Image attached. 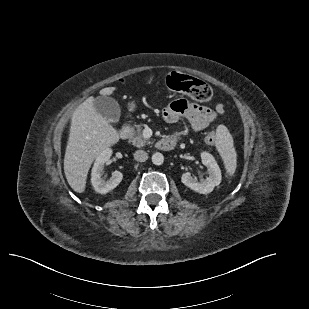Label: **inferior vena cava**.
<instances>
[{
	"label": "inferior vena cava",
	"mask_w": 309,
	"mask_h": 309,
	"mask_svg": "<svg viewBox=\"0 0 309 309\" xmlns=\"http://www.w3.org/2000/svg\"><path fill=\"white\" fill-rule=\"evenodd\" d=\"M134 159L139 162H144L148 159V154L143 150H137L134 153Z\"/></svg>",
	"instance_id": "1"
}]
</instances>
